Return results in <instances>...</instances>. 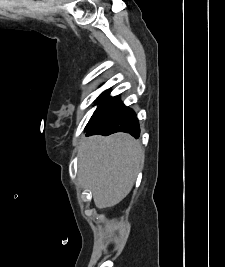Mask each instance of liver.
<instances>
[{
	"label": "liver",
	"mask_w": 225,
	"mask_h": 267,
	"mask_svg": "<svg viewBox=\"0 0 225 267\" xmlns=\"http://www.w3.org/2000/svg\"><path fill=\"white\" fill-rule=\"evenodd\" d=\"M144 158L139 142L126 133L92 136L81 144L78 176L97 208L114 206L130 193Z\"/></svg>",
	"instance_id": "obj_1"
}]
</instances>
